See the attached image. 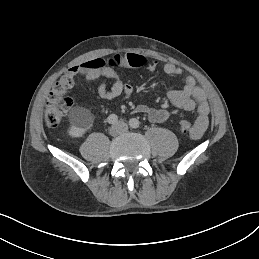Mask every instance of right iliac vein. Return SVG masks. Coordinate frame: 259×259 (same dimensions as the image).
<instances>
[{
    "label": "right iliac vein",
    "mask_w": 259,
    "mask_h": 259,
    "mask_svg": "<svg viewBox=\"0 0 259 259\" xmlns=\"http://www.w3.org/2000/svg\"><path fill=\"white\" fill-rule=\"evenodd\" d=\"M121 133V131H120V128L117 126V125H114V126H112L110 129H109V134L111 135V136H117V135H119Z\"/></svg>",
    "instance_id": "obj_1"
}]
</instances>
